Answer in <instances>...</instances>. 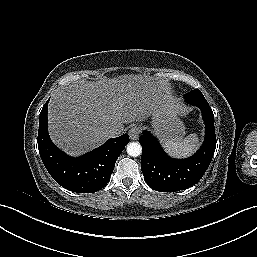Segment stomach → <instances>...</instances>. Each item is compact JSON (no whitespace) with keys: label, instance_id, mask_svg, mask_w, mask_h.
Wrapping results in <instances>:
<instances>
[{"label":"stomach","instance_id":"1","mask_svg":"<svg viewBox=\"0 0 257 257\" xmlns=\"http://www.w3.org/2000/svg\"><path fill=\"white\" fill-rule=\"evenodd\" d=\"M151 126L163 143L182 138L185 127L175 113L161 108L151 114Z\"/></svg>","mask_w":257,"mask_h":257}]
</instances>
